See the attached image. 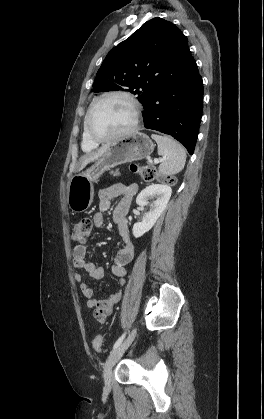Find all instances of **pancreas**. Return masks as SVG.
Segmentation results:
<instances>
[{
    "label": "pancreas",
    "instance_id": "pancreas-1",
    "mask_svg": "<svg viewBox=\"0 0 264 419\" xmlns=\"http://www.w3.org/2000/svg\"><path fill=\"white\" fill-rule=\"evenodd\" d=\"M110 174H112L113 176H119L120 175V172L117 169L116 171H111Z\"/></svg>",
    "mask_w": 264,
    "mask_h": 419
}]
</instances>
